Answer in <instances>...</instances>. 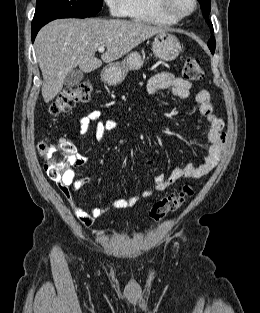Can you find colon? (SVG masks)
Instances as JSON below:
<instances>
[{
  "instance_id": "1",
  "label": "colon",
  "mask_w": 260,
  "mask_h": 313,
  "mask_svg": "<svg viewBox=\"0 0 260 313\" xmlns=\"http://www.w3.org/2000/svg\"><path fill=\"white\" fill-rule=\"evenodd\" d=\"M183 75L187 80L199 81L204 78L205 72L197 58H187ZM91 93L92 86L89 82L66 88L52 101L49 112L52 115L69 112L75 105L89 102ZM39 153L45 161L46 174L53 180L61 179L68 172L73 165L72 158L76 155L74 145L67 139L55 143L42 141L39 143ZM192 195L193 189L185 186L180 193L156 201L149 211L150 219L162 220L168 213L178 210Z\"/></svg>"
}]
</instances>
